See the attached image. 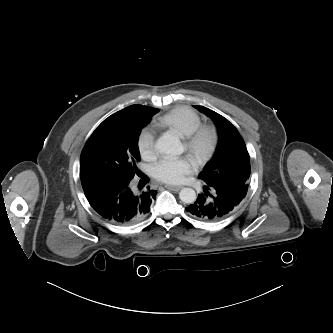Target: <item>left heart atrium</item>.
<instances>
[{"label": "left heart atrium", "instance_id": "1", "mask_svg": "<svg viewBox=\"0 0 333 333\" xmlns=\"http://www.w3.org/2000/svg\"><path fill=\"white\" fill-rule=\"evenodd\" d=\"M194 170L188 157H165L152 168V175L162 183L175 185L183 182Z\"/></svg>", "mask_w": 333, "mask_h": 333}]
</instances>
